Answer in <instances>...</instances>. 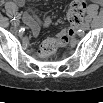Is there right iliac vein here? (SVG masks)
Segmentation results:
<instances>
[{"mask_svg":"<svg viewBox=\"0 0 103 103\" xmlns=\"http://www.w3.org/2000/svg\"><path fill=\"white\" fill-rule=\"evenodd\" d=\"M19 23H20L19 20L16 19V20H13L12 25L17 27L19 25Z\"/></svg>","mask_w":103,"mask_h":103,"instance_id":"1","label":"right iliac vein"}]
</instances>
